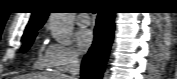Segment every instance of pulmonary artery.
I'll return each mask as SVG.
<instances>
[{"instance_id": "pulmonary-artery-1", "label": "pulmonary artery", "mask_w": 177, "mask_h": 79, "mask_svg": "<svg viewBox=\"0 0 177 79\" xmlns=\"http://www.w3.org/2000/svg\"><path fill=\"white\" fill-rule=\"evenodd\" d=\"M76 23L80 26H87L90 24V20L87 14H79L76 18Z\"/></svg>"}]
</instances>
